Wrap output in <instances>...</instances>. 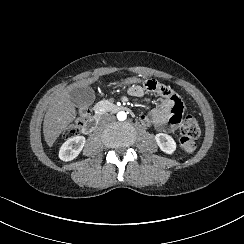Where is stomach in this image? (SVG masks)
I'll use <instances>...</instances> for the list:
<instances>
[{
    "label": "stomach",
    "instance_id": "0dacf381",
    "mask_svg": "<svg viewBox=\"0 0 244 244\" xmlns=\"http://www.w3.org/2000/svg\"><path fill=\"white\" fill-rule=\"evenodd\" d=\"M137 82H140V80L137 78H129V79L125 80L123 83L124 84H131V83H137Z\"/></svg>",
    "mask_w": 244,
    "mask_h": 244
}]
</instances>
